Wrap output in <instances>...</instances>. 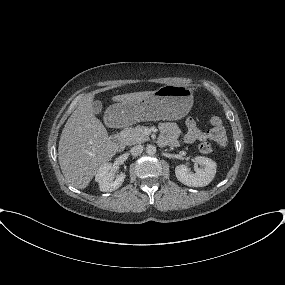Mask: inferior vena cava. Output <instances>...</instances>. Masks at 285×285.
I'll return each instance as SVG.
<instances>
[{"label":"inferior vena cava","instance_id":"inferior-vena-cava-1","mask_svg":"<svg viewBox=\"0 0 285 285\" xmlns=\"http://www.w3.org/2000/svg\"><path fill=\"white\" fill-rule=\"evenodd\" d=\"M142 152H143V146H142V145H136V146H133V147L130 149V153H131L133 156H138V155H140Z\"/></svg>","mask_w":285,"mask_h":285}]
</instances>
